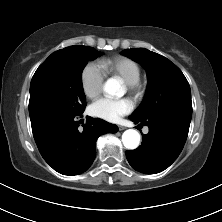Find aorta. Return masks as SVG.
I'll return each instance as SVG.
<instances>
[{"mask_svg":"<svg viewBox=\"0 0 222 222\" xmlns=\"http://www.w3.org/2000/svg\"><path fill=\"white\" fill-rule=\"evenodd\" d=\"M104 91L110 96H119L121 85L115 79H109L104 85ZM123 145L130 150L139 146L140 134L134 129H128L122 134Z\"/></svg>","mask_w":222,"mask_h":222,"instance_id":"obj_1","label":"aorta"}]
</instances>
